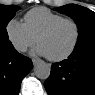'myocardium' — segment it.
<instances>
[{
  "label": "myocardium",
  "mask_w": 95,
  "mask_h": 95,
  "mask_svg": "<svg viewBox=\"0 0 95 95\" xmlns=\"http://www.w3.org/2000/svg\"><path fill=\"white\" fill-rule=\"evenodd\" d=\"M64 22H71L75 26L76 36H75V40H74L72 46L62 55L57 56V57L46 56L49 60L54 61V62H59V61L67 59L77 48L79 41H80V37H81V28H80L79 23L73 18L59 19V20L51 23L44 30H42L36 38V42L39 45V41L42 37L50 34L57 26H59L61 23H64Z\"/></svg>",
  "instance_id": "obj_1"
}]
</instances>
